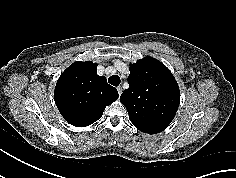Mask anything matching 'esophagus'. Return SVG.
<instances>
[{"label":"esophagus","mask_w":236,"mask_h":178,"mask_svg":"<svg viewBox=\"0 0 236 178\" xmlns=\"http://www.w3.org/2000/svg\"><path fill=\"white\" fill-rule=\"evenodd\" d=\"M117 91H118V94H119V96H120L121 93H122V87H121V86H118V87H117Z\"/></svg>","instance_id":"1"}]
</instances>
